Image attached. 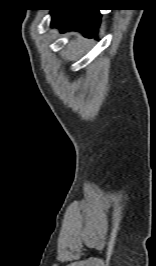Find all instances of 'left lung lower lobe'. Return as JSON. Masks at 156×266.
I'll return each mask as SVG.
<instances>
[{"label":"left lung lower lobe","instance_id":"left-lung-lower-lobe-1","mask_svg":"<svg viewBox=\"0 0 156 266\" xmlns=\"http://www.w3.org/2000/svg\"><path fill=\"white\" fill-rule=\"evenodd\" d=\"M51 26L59 27L62 32L77 30L87 37L96 36L101 15L92 9H67L51 11Z\"/></svg>","mask_w":156,"mask_h":266}]
</instances>
